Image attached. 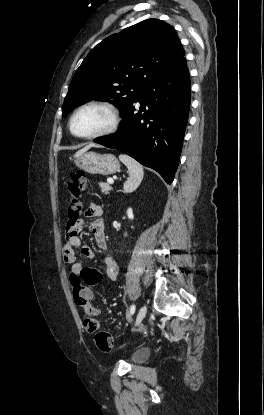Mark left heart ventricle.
Masks as SVG:
<instances>
[{"mask_svg":"<svg viewBox=\"0 0 264 415\" xmlns=\"http://www.w3.org/2000/svg\"><path fill=\"white\" fill-rule=\"evenodd\" d=\"M110 123V115L107 111L89 107L80 111L73 123L74 131L80 135H90L106 128Z\"/></svg>","mask_w":264,"mask_h":415,"instance_id":"1","label":"left heart ventricle"}]
</instances>
